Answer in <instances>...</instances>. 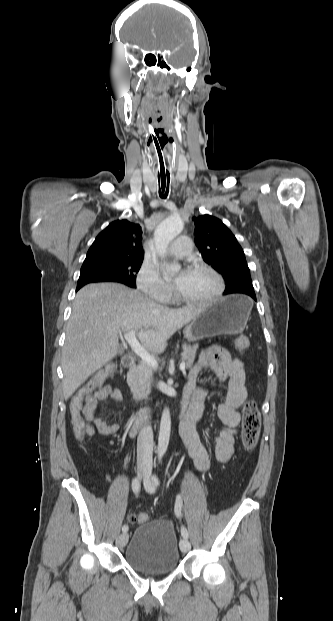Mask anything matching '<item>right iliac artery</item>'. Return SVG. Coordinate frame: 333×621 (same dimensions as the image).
Instances as JSON below:
<instances>
[{"label":"right iliac artery","mask_w":333,"mask_h":621,"mask_svg":"<svg viewBox=\"0 0 333 621\" xmlns=\"http://www.w3.org/2000/svg\"><path fill=\"white\" fill-rule=\"evenodd\" d=\"M132 490L135 494H138L140 491V482L138 478H134V480L132 481ZM129 529L128 525H123L122 527V531L123 532H127Z\"/></svg>","instance_id":"right-iliac-artery-1"}]
</instances>
